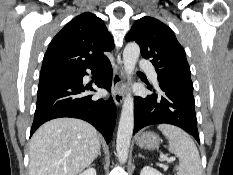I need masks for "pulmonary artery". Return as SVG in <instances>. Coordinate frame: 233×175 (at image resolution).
<instances>
[{"label":"pulmonary artery","instance_id":"obj_1","mask_svg":"<svg viewBox=\"0 0 233 175\" xmlns=\"http://www.w3.org/2000/svg\"><path fill=\"white\" fill-rule=\"evenodd\" d=\"M139 66L148 72V74L154 82H157V73L155 72L154 68L152 67L149 61L142 60L139 62Z\"/></svg>","mask_w":233,"mask_h":175}]
</instances>
